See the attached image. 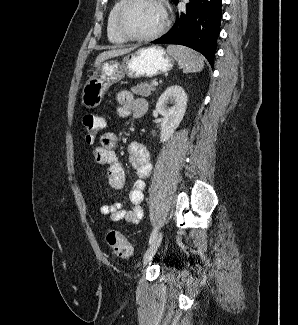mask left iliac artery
<instances>
[{
    "label": "left iliac artery",
    "mask_w": 298,
    "mask_h": 325,
    "mask_svg": "<svg viewBox=\"0 0 298 325\" xmlns=\"http://www.w3.org/2000/svg\"><path fill=\"white\" fill-rule=\"evenodd\" d=\"M156 235H157V228H155L152 233H151V236H150V239H149V244H151L154 239L156 238Z\"/></svg>",
    "instance_id": "obj_1"
}]
</instances>
